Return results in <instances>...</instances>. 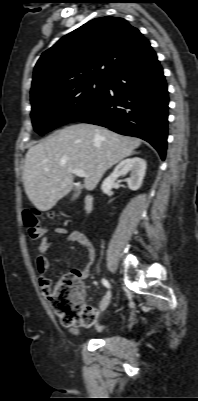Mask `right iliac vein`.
I'll return each instance as SVG.
<instances>
[{"label": "right iliac vein", "instance_id": "right-iliac-vein-1", "mask_svg": "<svg viewBox=\"0 0 198 401\" xmlns=\"http://www.w3.org/2000/svg\"><path fill=\"white\" fill-rule=\"evenodd\" d=\"M105 298H106V300H107V305H108V303H109V301H110V298H111V292H110V291H108V292L106 293ZM107 305H106V307H107ZM106 307H105V308H106ZM105 308H104V309H105Z\"/></svg>", "mask_w": 198, "mask_h": 401}]
</instances>
